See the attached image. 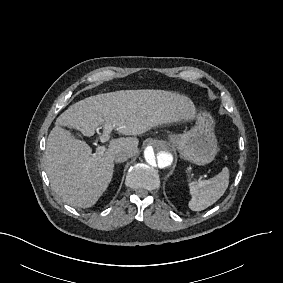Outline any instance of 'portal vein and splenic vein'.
Returning <instances> with one entry per match:
<instances>
[{
    "label": "portal vein and splenic vein",
    "instance_id": "obj_1",
    "mask_svg": "<svg viewBox=\"0 0 283 283\" xmlns=\"http://www.w3.org/2000/svg\"><path fill=\"white\" fill-rule=\"evenodd\" d=\"M112 130H116L115 125L111 124H104L103 126V133L100 135V139L102 142L107 141L110 138ZM104 150L103 147H98V151Z\"/></svg>",
    "mask_w": 283,
    "mask_h": 283
}]
</instances>
